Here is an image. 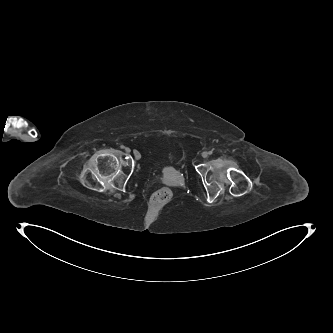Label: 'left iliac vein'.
Listing matches in <instances>:
<instances>
[{
    "mask_svg": "<svg viewBox=\"0 0 333 333\" xmlns=\"http://www.w3.org/2000/svg\"><path fill=\"white\" fill-rule=\"evenodd\" d=\"M207 156H208V152H203V153H202V157H203V158H206Z\"/></svg>",
    "mask_w": 333,
    "mask_h": 333,
    "instance_id": "obj_1",
    "label": "left iliac vein"
}]
</instances>
